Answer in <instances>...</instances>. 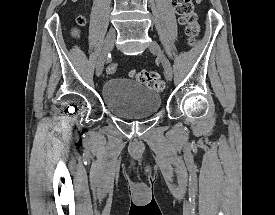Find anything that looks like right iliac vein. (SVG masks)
I'll return each instance as SVG.
<instances>
[{"label":"right iliac vein","instance_id":"1","mask_svg":"<svg viewBox=\"0 0 275 215\" xmlns=\"http://www.w3.org/2000/svg\"><path fill=\"white\" fill-rule=\"evenodd\" d=\"M115 32H110L106 38L104 48L99 56L97 66H96V74L100 76L103 72L104 64L108 53L113 49L115 42Z\"/></svg>","mask_w":275,"mask_h":215}]
</instances>
